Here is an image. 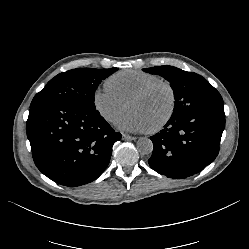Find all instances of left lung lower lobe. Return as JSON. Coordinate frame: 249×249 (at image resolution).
<instances>
[{
  "label": "left lung lower lobe",
  "mask_w": 249,
  "mask_h": 249,
  "mask_svg": "<svg viewBox=\"0 0 249 249\" xmlns=\"http://www.w3.org/2000/svg\"><path fill=\"white\" fill-rule=\"evenodd\" d=\"M225 127L223 107L195 110L170 118L165 128L150 137L154 148L148 163L169 178H186L209 165L218 155Z\"/></svg>",
  "instance_id": "left-lung-lower-lobe-1"
}]
</instances>
